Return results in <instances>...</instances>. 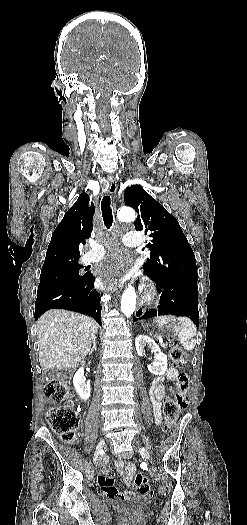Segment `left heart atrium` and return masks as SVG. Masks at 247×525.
Masks as SVG:
<instances>
[{"instance_id": "39dd6f15", "label": "left heart atrium", "mask_w": 247, "mask_h": 525, "mask_svg": "<svg viewBox=\"0 0 247 525\" xmlns=\"http://www.w3.org/2000/svg\"><path fill=\"white\" fill-rule=\"evenodd\" d=\"M98 254V258H101V253ZM99 261L103 263V270L94 272L97 281L101 284L109 282L114 285L122 284L130 278L131 271L127 270V265L135 262L133 255L126 251H112Z\"/></svg>"}]
</instances>
